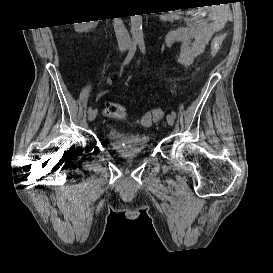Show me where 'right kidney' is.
Masks as SVG:
<instances>
[{"label": "right kidney", "instance_id": "right-kidney-1", "mask_svg": "<svg viewBox=\"0 0 273 273\" xmlns=\"http://www.w3.org/2000/svg\"><path fill=\"white\" fill-rule=\"evenodd\" d=\"M97 23L91 21L90 23L82 22V23H75V30L77 32H87L91 27L96 26Z\"/></svg>", "mask_w": 273, "mask_h": 273}]
</instances>
